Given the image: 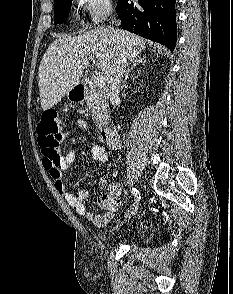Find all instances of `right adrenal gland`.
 Returning <instances> with one entry per match:
<instances>
[{
    "label": "right adrenal gland",
    "instance_id": "2a0ac1e0",
    "mask_svg": "<svg viewBox=\"0 0 233 294\" xmlns=\"http://www.w3.org/2000/svg\"><path fill=\"white\" fill-rule=\"evenodd\" d=\"M140 63L144 64L145 63V59H141V58L137 57L136 59H134L132 61L131 67L128 68L127 71H126L124 80H127L129 78V73L132 71V69H134L136 67V65H138Z\"/></svg>",
    "mask_w": 233,
    "mask_h": 294
}]
</instances>
